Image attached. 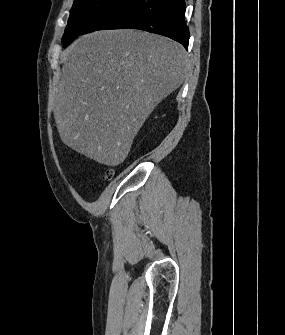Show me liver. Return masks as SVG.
Here are the masks:
<instances>
[{"label":"liver","instance_id":"1","mask_svg":"<svg viewBox=\"0 0 285 335\" xmlns=\"http://www.w3.org/2000/svg\"><path fill=\"white\" fill-rule=\"evenodd\" d=\"M64 56L53 94L59 136L105 166L124 162L142 124L189 72L183 46L138 30L80 36Z\"/></svg>","mask_w":285,"mask_h":335}]
</instances>
